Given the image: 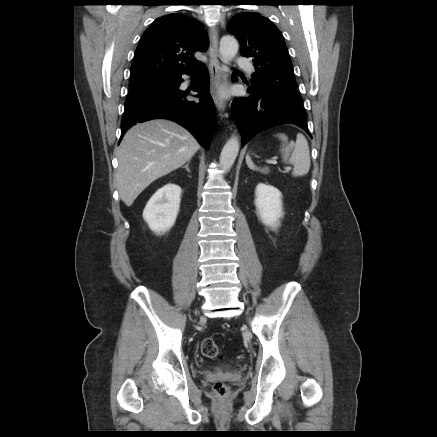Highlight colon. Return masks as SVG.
<instances>
[{
	"label": "colon",
	"mask_w": 437,
	"mask_h": 437,
	"mask_svg": "<svg viewBox=\"0 0 437 437\" xmlns=\"http://www.w3.org/2000/svg\"><path fill=\"white\" fill-rule=\"evenodd\" d=\"M202 354L210 359H220L221 352L217 344L211 338H206L201 344ZM214 392L219 398H224L228 394V387L222 382H218L214 386Z\"/></svg>",
	"instance_id": "colon-1"
}]
</instances>
